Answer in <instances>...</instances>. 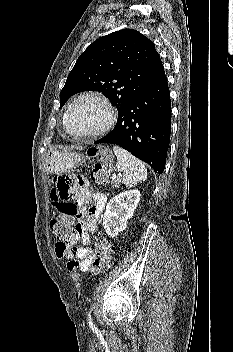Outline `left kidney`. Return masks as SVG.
<instances>
[{
	"label": "left kidney",
	"instance_id": "5707ae66",
	"mask_svg": "<svg viewBox=\"0 0 233 352\" xmlns=\"http://www.w3.org/2000/svg\"><path fill=\"white\" fill-rule=\"evenodd\" d=\"M140 192L136 189L122 192L113 197L106 206L103 226L109 237L114 238L127 227L140 201Z\"/></svg>",
	"mask_w": 233,
	"mask_h": 352
}]
</instances>
